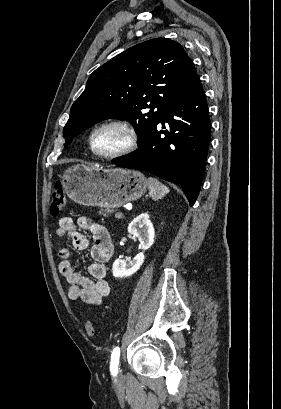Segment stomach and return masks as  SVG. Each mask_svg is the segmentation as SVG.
I'll return each instance as SVG.
<instances>
[{
	"label": "stomach",
	"mask_w": 281,
	"mask_h": 409,
	"mask_svg": "<svg viewBox=\"0 0 281 409\" xmlns=\"http://www.w3.org/2000/svg\"><path fill=\"white\" fill-rule=\"evenodd\" d=\"M61 184L78 205L117 209L145 194L148 180L139 170L73 164L61 176Z\"/></svg>",
	"instance_id": "1"
}]
</instances>
